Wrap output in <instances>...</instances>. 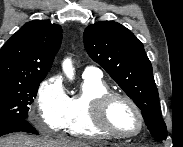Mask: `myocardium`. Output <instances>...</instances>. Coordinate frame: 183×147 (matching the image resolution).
Returning <instances> with one entry per match:
<instances>
[{
  "label": "myocardium",
  "mask_w": 183,
  "mask_h": 147,
  "mask_svg": "<svg viewBox=\"0 0 183 147\" xmlns=\"http://www.w3.org/2000/svg\"><path fill=\"white\" fill-rule=\"evenodd\" d=\"M116 99H122L126 101L134 109L140 124L139 130L136 133L133 134L121 133L117 131L115 128H113V126L111 125L108 119V108L110 104ZM91 113L93 122L99 129L117 138L132 139L138 137L139 135L142 134L145 127V120L141 109L131 97L123 93L107 92L98 96L92 102Z\"/></svg>",
  "instance_id": "1"
}]
</instances>
